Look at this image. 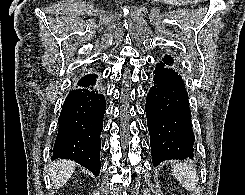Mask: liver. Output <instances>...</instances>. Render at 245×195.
I'll list each match as a JSON object with an SVG mask.
<instances>
[{
	"instance_id": "6515ba94",
	"label": "liver",
	"mask_w": 245,
	"mask_h": 195,
	"mask_svg": "<svg viewBox=\"0 0 245 195\" xmlns=\"http://www.w3.org/2000/svg\"><path fill=\"white\" fill-rule=\"evenodd\" d=\"M76 168L70 160H57L50 167V176L55 188L62 187L72 176Z\"/></svg>"
}]
</instances>
